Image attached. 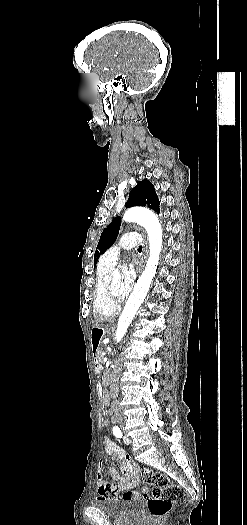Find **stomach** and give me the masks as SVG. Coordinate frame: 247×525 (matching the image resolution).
<instances>
[{
	"mask_svg": "<svg viewBox=\"0 0 247 525\" xmlns=\"http://www.w3.org/2000/svg\"><path fill=\"white\" fill-rule=\"evenodd\" d=\"M103 330L104 328L102 327H95L92 329L91 331V344L93 346V351L95 352L96 350V347L99 343V341L101 340L102 336H103Z\"/></svg>",
	"mask_w": 247,
	"mask_h": 525,
	"instance_id": "obj_1",
	"label": "stomach"
}]
</instances>
